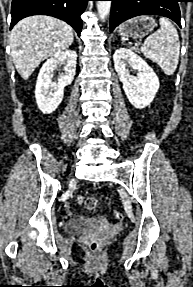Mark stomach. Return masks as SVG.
<instances>
[{
	"label": "stomach",
	"instance_id": "obj_1",
	"mask_svg": "<svg viewBox=\"0 0 193 287\" xmlns=\"http://www.w3.org/2000/svg\"><path fill=\"white\" fill-rule=\"evenodd\" d=\"M156 23L149 16L131 19L119 26V33L126 38H142L155 28Z\"/></svg>",
	"mask_w": 193,
	"mask_h": 287
}]
</instances>
